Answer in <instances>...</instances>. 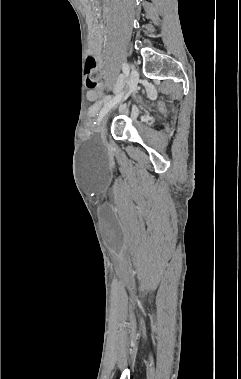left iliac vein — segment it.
<instances>
[{"mask_svg": "<svg viewBox=\"0 0 241 379\" xmlns=\"http://www.w3.org/2000/svg\"><path fill=\"white\" fill-rule=\"evenodd\" d=\"M138 80H139V73H138L137 69L134 67V65H132L130 77L128 80V89L124 94H122V96L120 97V99L118 100V102L116 104L123 103L128 98V96L132 92L135 91L137 84H138ZM106 120H107V117L104 119L101 126L99 127V133L101 135L102 140L105 143H106V128H105Z\"/></svg>", "mask_w": 241, "mask_h": 379, "instance_id": "4c4485c4", "label": "left iliac vein"}]
</instances>
